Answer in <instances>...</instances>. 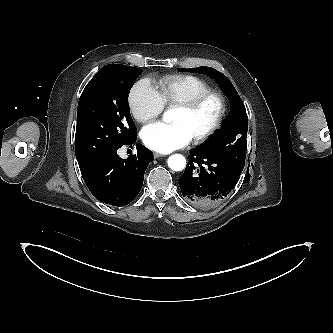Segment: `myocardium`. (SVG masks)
Returning <instances> with one entry per match:
<instances>
[{
    "instance_id": "1",
    "label": "myocardium",
    "mask_w": 333,
    "mask_h": 333,
    "mask_svg": "<svg viewBox=\"0 0 333 333\" xmlns=\"http://www.w3.org/2000/svg\"><path fill=\"white\" fill-rule=\"evenodd\" d=\"M210 99H216L219 102L220 111L216 121L207 131L198 136L193 137V142L195 144H201L206 142L221 129L226 119L227 110H228L226 98L222 93L210 90L208 92H205L203 94L194 97L193 99L187 102L181 103L176 106L178 109L192 113L197 109H199L203 104H205Z\"/></svg>"
}]
</instances>
